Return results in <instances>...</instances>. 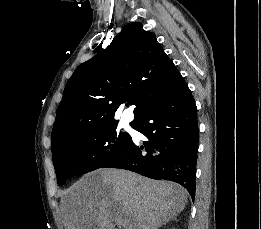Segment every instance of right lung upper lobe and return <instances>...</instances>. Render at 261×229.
I'll use <instances>...</instances> for the list:
<instances>
[{
  "mask_svg": "<svg viewBox=\"0 0 261 229\" xmlns=\"http://www.w3.org/2000/svg\"><path fill=\"white\" fill-rule=\"evenodd\" d=\"M181 78L152 32L139 22L124 26L110 46L78 66L68 80L51 150L78 128L116 127L115 112L125 101L136 106L133 127Z\"/></svg>",
  "mask_w": 261,
  "mask_h": 229,
  "instance_id": "right-lung-upper-lobe-1",
  "label": "right lung upper lobe"
}]
</instances>
